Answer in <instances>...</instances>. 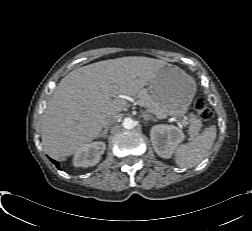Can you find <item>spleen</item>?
<instances>
[{"instance_id":"3e777b00","label":"spleen","mask_w":252,"mask_h":231,"mask_svg":"<svg viewBox=\"0 0 252 231\" xmlns=\"http://www.w3.org/2000/svg\"><path fill=\"white\" fill-rule=\"evenodd\" d=\"M216 126L211 125L188 143L175 149V162L180 168H191L198 165L208 154L216 139Z\"/></svg>"}]
</instances>
